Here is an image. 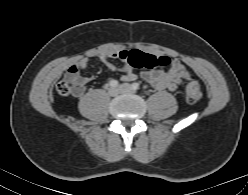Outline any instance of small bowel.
<instances>
[{"label": "small bowel", "instance_id": "c3829d8e", "mask_svg": "<svg viewBox=\"0 0 248 195\" xmlns=\"http://www.w3.org/2000/svg\"><path fill=\"white\" fill-rule=\"evenodd\" d=\"M126 51L115 52L112 55L102 54L98 58L103 63L107 64L111 69L122 73V79L125 81H134L137 79V75L130 69V67L123 63L120 67H116L113 63V59L125 60L121 57L126 56ZM90 58L85 57L80 61L72 65L68 73L78 72L85 70L89 64ZM140 77L150 84L152 87L162 90L169 89L171 91L176 90L180 84L189 77V71L186 67L177 59H173L167 69H157L154 71H146L140 74ZM83 82L86 83L91 80V77H83Z\"/></svg>", "mask_w": 248, "mask_h": 195}]
</instances>
